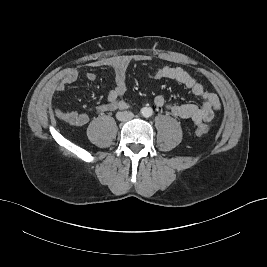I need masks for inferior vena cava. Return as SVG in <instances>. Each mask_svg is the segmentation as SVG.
<instances>
[{"mask_svg": "<svg viewBox=\"0 0 267 267\" xmlns=\"http://www.w3.org/2000/svg\"><path fill=\"white\" fill-rule=\"evenodd\" d=\"M116 117L119 121H129L134 117V114L130 111L117 112Z\"/></svg>", "mask_w": 267, "mask_h": 267, "instance_id": "1", "label": "inferior vena cava"}]
</instances>
